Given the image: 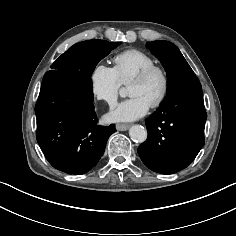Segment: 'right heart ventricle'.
Here are the masks:
<instances>
[{
	"label": "right heart ventricle",
	"mask_w": 236,
	"mask_h": 236,
	"mask_svg": "<svg viewBox=\"0 0 236 236\" xmlns=\"http://www.w3.org/2000/svg\"><path fill=\"white\" fill-rule=\"evenodd\" d=\"M114 69L122 84L127 85L144 68L155 64L148 53L139 49H128L115 55Z\"/></svg>",
	"instance_id": "obj_1"
}]
</instances>
